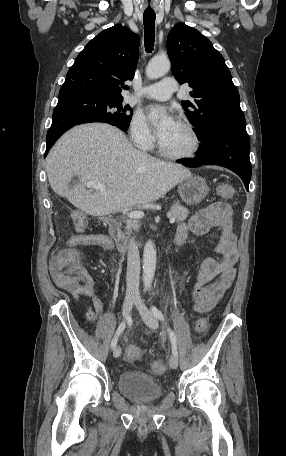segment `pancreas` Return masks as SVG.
Segmentation results:
<instances>
[{
	"label": "pancreas",
	"mask_w": 286,
	"mask_h": 456,
	"mask_svg": "<svg viewBox=\"0 0 286 456\" xmlns=\"http://www.w3.org/2000/svg\"><path fill=\"white\" fill-rule=\"evenodd\" d=\"M188 213H189L188 209L179 204H175L170 208V214L173 218H175L176 222L184 221L187 218ZM139 226H140V224H139L138 220H132V221L127 222V225H126L127 232L124 233L123 235L124 236L129 235L132 230L138 231Z\"/></svg>",
	"instance_id": "1"
}]
</instances>
